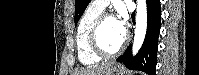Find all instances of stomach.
I'll return each mask as SVG.
<instances>
[{"label":"stomach","mask_w":199,"mask_h":75,"mask_svg":"<svg viewBox=\"0 0 199 75\" xmlns=\"http://www.w3.org/2000/svg\"><path fill=\"white\" fill-rule=\"evenodd\" d=\"M108 75H124L123 68L119 65H113L110 67Z\"/></svg>","instance_id":"obj_1"}]
</instances>
